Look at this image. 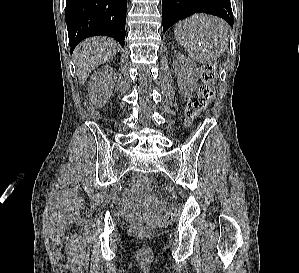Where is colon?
<instances>
[{"instance_id":"5ec220e1","label":"colon","mask_w":299,"mask_h":273,"mask_svg":"<svg viewBox=\"0 0 299 273\" xmlns=\"http://www.w3.org/2000/svg\"><path fill=\"white\" fill-rule=\"evenodd\" d=\"M200 74L202 84L198 91L189 99L186 107V117L189 120H195L198 118L201 112L214 97L213 82L216 78L215 66L212 63L204 64L201 68ZM142 182L148 185V181L146 179H143ZM175 214V208H171L164 217V220L168 221L173 219ZM132 232L138 236H148L152 233V227L145 223H135L132 225Z\"/></svg>"}]
</instances>
